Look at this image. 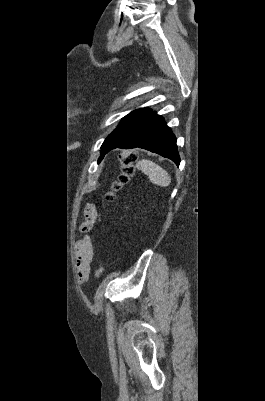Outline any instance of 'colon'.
<instances>
[{
  "mask_svg": "<svg viewBox=\"0 0 265 401\" xmlns=\"http://www.w3.org/2000/svg\"><path fill=\"white\" fill-rule=\"evenodd\" d=\"M136 162L137 154L135 152H129L120 159V173L113 181L110 190L105 194V199L108 202L113 201L116 194L130 182L136 171ZM95 273L97 277H100L103 273V268L98 267Z\"/></svg>",
  "mask_w": 265,
  "mask_h": 401,
  "instance_id": "1",
  "label": "colon"
}]
</instances>
